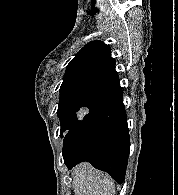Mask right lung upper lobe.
<instances>
[{
    "label": "right lung upper lobe",
    "instance_id": "1",
    "mask_svg": "<svg viewBox=\"0 0 178 195\" xmlns=\"http://www.w3.org/2000/svg\"><path fill=\"white\" fill-rule=\"evenodd\" d=\"M120 85L109 45L86 44L70 61L60 87V97L85 94L98 96Z\"/></svg>",
    "mask_w": 178,
    "mask_h": 195
}]
</instances>
